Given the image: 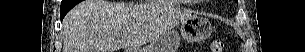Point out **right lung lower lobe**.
I'll return each mask as SVG.
<instances>
[{
	"mask_svg": "<svg viewBox=\"0 0 305 52\" xmlns=\"http://www.w3.org/2000/svg\"><path fill=\"white\" fill-rule=\"evenodd\" d=\"M67 1H69V0H62V3H61V8H60L61 20H63L64 16L67 14V12L77 4L74 2H67Z\"/></svg>",
	"mask_w": 305,
	"mask_h": 52,
	"instance_id": "98d812e1",
	"label": "right lung lower lobe"
}]
</instances>
